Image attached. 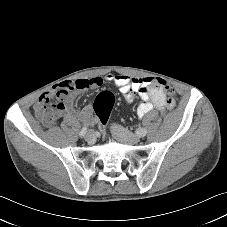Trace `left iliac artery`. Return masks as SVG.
I'll list each match as a JSON object with an SVG mask.
<instances>
[{
    "instance_id": "left-iliac-artery-1",
    "label": "left iliac artery",
    "mask_w": 227,
    "mask_h": 227,
    "mask_svg": "<svg viewBox=\"0 0 227 227\" xmlns=\"http://www.w3.org/2000/svg\"><path fill=\"white\" fill-rule=\"evenodd\" d=\"M147 134V130L145 128H141L138 130V135L144 137Z\"/></svg>"
}]
</instances>
